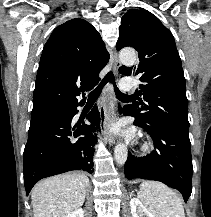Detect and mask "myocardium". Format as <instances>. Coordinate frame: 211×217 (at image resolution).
Segmentation results:
<instances>
[{
    "label": "myocardium",
    "mask_w": 211,
    "mask_h": 217,
    "mask_svg": "<svg viewBox=\"0 0 211 217\" xmlns=\"http://www.w3.org/2000/svg\"><path fill=\"white\" fill-rule=\"evenodd\" d=\"M153 149V144L152 142L150 141H146L144 142V144L142 145V148H141V151L144 153V154H148L152 151Z\"/></svg>",
    "instance_id": "1"
}]
</instances>
